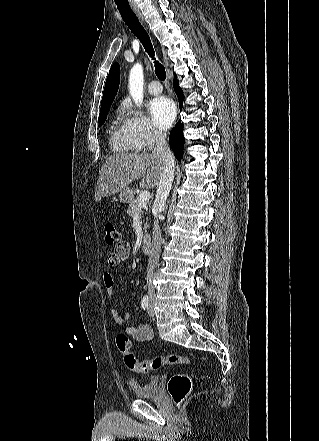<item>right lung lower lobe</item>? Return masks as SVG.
Here are the masks:
<instances>
[{"label": "right lung lower lobe", "instance_id": "obj_1", "mask_svg": "<svg viewBox=\"0 0 319 441\" xmlns=\"http://www.w3.org/2000/svg\"><path fill=\"white\" fill-rule=\"evenodd\" d=\"M173 86L179 98L180 107H182L184 97H183L182 89L179 87V83L176 75L174 77ZM183 127H184L183 124L181 122H178L170 132V136H169V144L174 152V155L179 160L183 158V149H184L183 145L185 143V139L183 136Z\"/></svg>", "mask_w": 319, "mask_h": 441}]
</instances>
